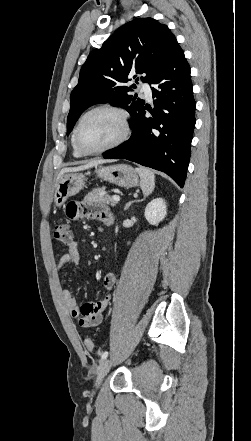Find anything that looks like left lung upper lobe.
Segmentation results:
<instances>
[{
	"instance_id": "left-lung-upper-lobe-1",
	"label": "left lung upper lobe",
	"mask_w": 251,
	"mask_h": 441,
	"mask_svg": "<svg viewBox=\"0 0 251 441\" xmlns=\"http://www.w3.org/2000/svg\"><path fill=\"white\" fill-rule=\"evenodd\" d=\"M177 44L170 29L153 18H137L121 26L101 48L89 54L81 68L70 97L67 135L79 116L97 103L123 107L132 120L145 102L130 95L136 85H125L128 77L137 82L143 74L141 80L149 83Z\"/></svg>"
}]
</instances>
